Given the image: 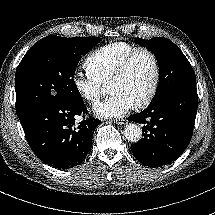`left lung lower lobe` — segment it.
I'll return each instance as SVG.
<instances>
[{
	"label": "left lung lower lobe",
	"instance_id": "1",
	"mask_svg": "<svg viewBox=\"0 0 215 215\" xmlns=\"http://www.w3.org/2000/svg\"><path fill=\"white\" fill-rule=\"evenodd\" d=\"M198 107L196 83L182 86L149 104L128 120L144 124L143 135L131 145L136 159L149 167L169 164L187 148Z\"/></svg>",
	"mask_w": 215,
	"mask_h": 215
}]
</instances>
